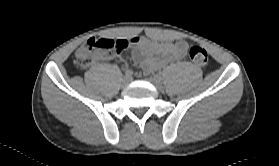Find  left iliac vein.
Returning a JSON list of instances; mask_svg holds the SVG:
<instances>
[{
  "label": "left iliac vein",
  "mask_w": 279,
  "mask_h": 166,
  "mask_svg": "<svg viewBox=\"0 0 279 166\" xmlns=\"http://www.w3.org/2000/svg\"><path fill=\"white\" fill-rule=\"evenodd\" d=\"M148 81L156 87L157 90L161 91L163 89L161 79L157 76L150 77Z\"/></svg>",
  "instance_id": "left-iliac-vein-1"
}]
</instances>
